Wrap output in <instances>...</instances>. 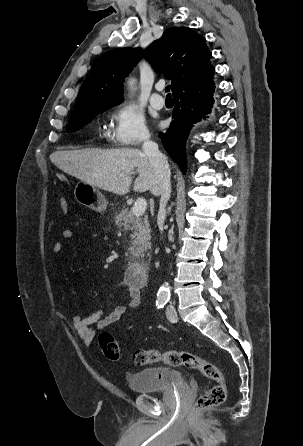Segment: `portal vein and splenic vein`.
Here are the masks:
<instances>
[{"instance_id": "18ae733b", "label": "portal vein and splenic vein", "mask_w": 303, "mask_h": 446, "mask_svg": "<svg viewBox=\"0 0 303 446\" xmlns=\"http://www.w3.org/2000/svg\"><path fill=\"white\" fill-rule=\"evenodd\" d=\"M146 208H147L146 200L144 198L137 199L132 208L133 215L135 217L142 216L145 213Z\"/></svg>"}]
</instances>
